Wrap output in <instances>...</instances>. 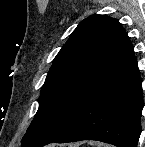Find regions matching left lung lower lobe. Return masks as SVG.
Masks as SVG:
<instances>
[{
  "instance_id": "obj_1",
  "label": "left lung lower lobe",
  "mask_w": 145,
  "mask_h": 147,
  "mask_svg": "<svg viewBox=\"0 0 145 147\" xmlns=\"http://www.w3.org/2000/svg\"><path fill=\"white\" fill-rule=\"evenodd\" d=\"M141 83L133 46L122 30L69 127L45 145L98 140L136 147L144 106Z\"/></svg>"
}]
</instances>
